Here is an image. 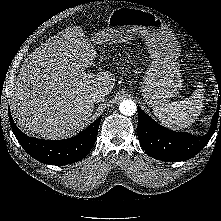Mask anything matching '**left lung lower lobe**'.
I'll use <instances>...</instances> for the list:
<instances>
[{"label":"left lung lower lobe","mask_w":221,"mask_h":221,"mask_svg":"<svg viewBox=\"0 0 221 221\" xmlns=\"http://www.w3.org/2000/svg\"><path fill=\"white\" fill-rule=\"evenodd\" d=\"M219 95L218 107L212 118L211 128L207 134L198 137L189 133L171 131L156 123L138 108L137 135L145 152L154 159L170 162L184 161L194 157L208 143L219 122V128H221V117H219L221 93Z\"/></svg>","instance_id":"0a47b994"}]
</instances>
